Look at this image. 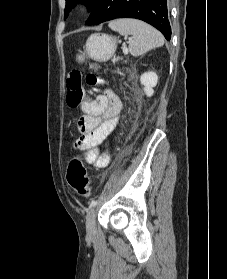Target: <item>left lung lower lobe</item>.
I'll return each mask as SVG.
<instances>
[{"label":"left lung lower lobe","instance_id":"0a47b994","mask_svg":"<svg viewBox=\"0 0 227 279\" xmlns=\"http://www.w3.org/2000/svg\"><path fill=\"white\" fill-rule=\"evenodd\" d=\"M116 18H136L157 28L167 40L171 38L167 0H98L86 25L100 24Z\"/></svg>","mask_w":227,"mask_h":279}]
</instances>
